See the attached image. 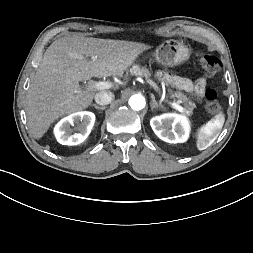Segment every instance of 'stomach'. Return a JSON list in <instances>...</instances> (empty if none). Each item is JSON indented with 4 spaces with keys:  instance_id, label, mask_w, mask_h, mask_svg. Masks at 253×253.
<instances>
[{
    "instance_id": "obj_1",
    "label": "stomach",
    "mask_w": 253,
    "mask_h": 253,
    "mask_svg": "<svg viewBox=\"0 0 253 253\" xmlns=\"http://www.w3.org/2000/svg\"><path fill=\"white\" fill-rule=\"evenodd\" d=\"M190 49L178 40H167L157 47L156 61L164 66H177L185 63L190 58Z\"/></svg>"
}]
</instances>
